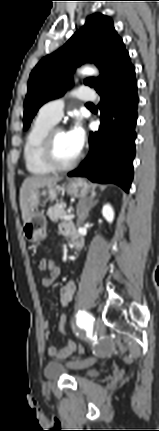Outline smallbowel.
Returning a JSON list of instances; mask_svg holds the SVG:
<instances>
[{"instance_id":"1","label":"small bowel","mask_w":159,"mask_h":431,"mask_svg":"<svg viewBox=\"0 0 159 431\" xmlns=\"http://www.w3.org/2000/svg\"><path fill=\"white\" fill-rule=\"evenodd\" d=\"M72 227L69 225H63L61 227V231L63 234L70 236V233L72 232ZM47 259H43L40 261L39 263V270L41 272H48V268H47ZM56 270L53 273L48 272V275H46L45 277L42 278L41 282L43 286H50L52 285V283H50V278H55V280L57 279V277L60 275L61 273V268L55 264ZM74 291H75V285L73 281H69L68 283H66L64 286H62L59 290V295H60V304L62 306H67L69 305V303L72 301L73 299V295H74ZM42 328L45 331V338H49V322L47 320H43L42 322ZM78 344L76 341L70 339L67 344L61 348V349H57L55 346L51 345L47 348V353L50 357L56 358V359H64L70 355H72L75 352H78Z\"/></svg>"}]
</instances>
